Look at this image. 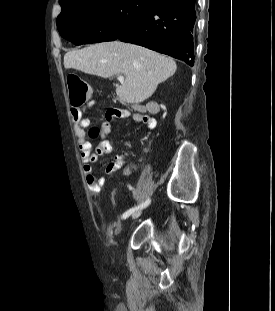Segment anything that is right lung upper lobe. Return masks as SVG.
Segmentation results:
<instances>
[{"label":"right lung upper lobe","mask_w":275,"mask_h":311,"mask_svg":"<svg viewBox=\"0 0 275 311\" xmlns=\"http://www.w3.org/2000/svg\"><path fill=\"white\" fill-rule=\"evenodd\" d=\"M68 1H72V0H59L60 5H63V4H65L66 2H68Z\"/></svg>","instance_id":"1"}]
</instances>
